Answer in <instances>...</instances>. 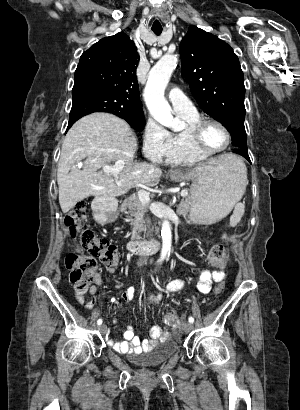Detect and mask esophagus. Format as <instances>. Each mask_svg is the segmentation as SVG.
<instances>
[{"mask_svg":"<svg viewBox=\"0 0 300 410\" xmlns=\"http://www.w3.org/2000/svg\"><path fill=\"white\" fill-rule=\"evenodd\" d=\"M169 172L170 173H177L176 170H174V169H170Z\"/></svg>","mask_w":300,"mask_h":410,"instance_id":"esophagus-1","label":"esophagus"}]
</instances>
